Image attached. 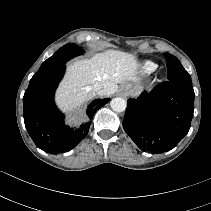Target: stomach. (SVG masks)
I'll return each mask as SVG.
<instances>
[{
    "label": "stomach",
    "mask_w": 211,
    "mask_h": 211,
    "mask_svg": "<svg viewBox=\"0 0 211 211\" xmlns=\"http://www.w3.org/2000/svg\"><path fill=\"white\" fill-rule=\"evenodd\" d=\"M123 88L129 89V91H128L129 95H136L137 94V90L136 89H132L130 85H126Z\"/></svg>",
    "instance_id": "obj_1"
}]
</instances>
